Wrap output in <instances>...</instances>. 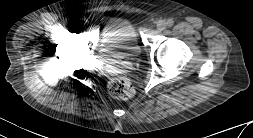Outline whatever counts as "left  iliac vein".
<instances>
[{"instance_id": "left-iliac-vein-1", "label": "left iliac vein", "mask_w": 253, "mask_h": 138, "mask_svg": "<svg viewBox=\"0 0 253 138\" xmlns=\"http://www.w3.org/2000/svg\"><path fill=\"white\" fill-rule=\"evenodd\" d=\"M165 27H166V23L163 22V21H161V22H159V23L157 24V29H158L159 31L164 30Z\"/></svg>"}]
</instances>
